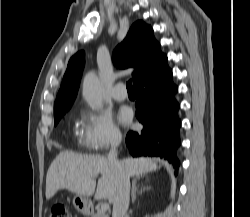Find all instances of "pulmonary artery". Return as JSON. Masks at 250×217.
Instances as JSON below:
<instances>
[{
  "label": "pulmonary artery",
  "mask_w": 250,
  "mask_h": 217,
  "mask_svg": "<svg viewBox=\"0 0 250 217\" xmlns=\"http://www.w3.org/2000/svg\"><path fill=\"white\" fill-rule=\"evenodd\" d=\"M111 96L116 101H124L127 98L124 84L117 83L111 90Z\"/></svg>",
  "instance_id": "obj_1"
}]
</instances>
